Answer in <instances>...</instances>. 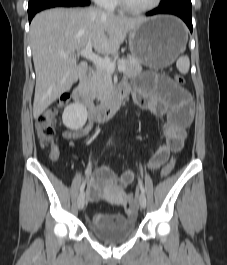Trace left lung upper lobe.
Returning <instances> with one entry per match:
<instances>
[{"label": "left lung upper lobe", "mask_w": 227, "mask_h": 265, "mask_svg": "<svg viewBox=\"0 0 227 265\" xmlns=\"http://www.w3.org/2000/svg\"><path fill=\"white\" fill-rule=\"evenodd\" d=\"M159 7H161V8H165V7L191 8L192 4H191L190 0H161Z\"/></svg>", "instance_id": "left-lung-upper-lobe-1"}]
</instances>
